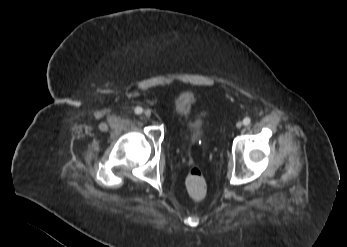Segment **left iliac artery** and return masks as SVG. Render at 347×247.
<instances>
[{"label": "left iliac artery", "instance_id": "obj_1", "mask_svg": "<svg viewBox=\"0 0 347 247\" xmlns=\"http://www.w3.org/2000/svg\"><path fill=\"white\" fill-rule=\"evenodd\" d=\"M250 122H251V119H250L249 117H246V118H244V120H243V124H244V125H249Z\"/></svg>", "mask_w": 347, "mask_h": 247}]
</instances>
